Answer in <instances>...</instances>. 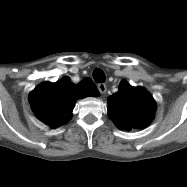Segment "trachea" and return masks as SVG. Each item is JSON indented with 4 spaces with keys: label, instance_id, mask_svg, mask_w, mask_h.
<instances>
[{
    "label": "trachea",
    "instance_id": "trachea-1",
    "mask_svg": "<svg viewBox=\"0 0 187 187\" xmlns=\"http://www.w3.org/2000/svg\"><path fill=\"white\" fill-rule=\"evenodd\" d=\"M93 78H94L95 82L104 83L106 80L105 74L101 69H95L93 71Z\"/></svg>",
    "mask_w": 187,
    "mask_h": 187
}]
</instances>
